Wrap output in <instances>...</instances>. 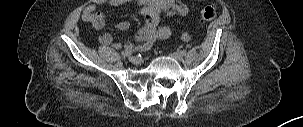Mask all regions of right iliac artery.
<instances>
[{"instance_id": "obj_1", "label": "right iliac artery", "mask_w": 303, "mask_h": 127, "mask_svg": "<svg viewBox=\"0 0 303 127\" xmlns=\"http://www.w3.org/2000/svg\"><path fill=\"white\" fill-rule=\"evenodd\" d=\"M121 54H122L124 57L130 56V55L132 54V51L123 50V51L121 52Z\"/></svg>"}]
</instances>
